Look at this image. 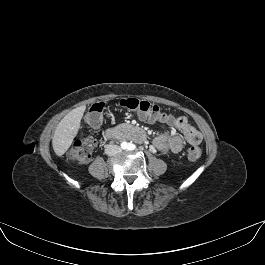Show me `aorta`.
Returning <instances> with one entry per match:
<instances>
[{
  "instance_id": "762f6f07",
  "label": "aorta",
  "mask_w": 265,
  "mask_h": 265,
  "mask_svg": "<svg viewBox=\"0 0 265 265\" xmlns=\"http://www.w3.org/2000/svg\"><path fill=\"white\" fill-rule=\"evenodd\" d=\"M122 146H123V148H125V149H126V148H128V146H129V143H127V142H123V143H122Z\"/></svg>"
}]
</instances>
